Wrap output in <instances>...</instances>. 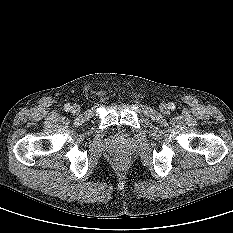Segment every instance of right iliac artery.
<instances>
[{
	"label": "right iliac artery",
	"mask_w": 233,
	"mask_h": 233,
	"mask_svg": "<svg viewBox=\"0 0 233 233\" xmlns=\"http://www.w3.org/2000/svg\"><path fill=\"white\" fill-rule=\"evenodd\" d=\"M65 111H69L71 109V106L70 104H66L65 107H64Z\"/></svg>",
	"instance_id": "1"
}]
</instances>
